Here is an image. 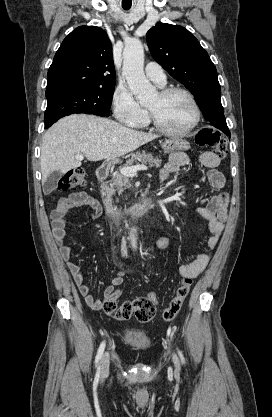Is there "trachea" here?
Returning <instances> with one entry per match:
<instances>
[{"label": "trachea", "instance_id": "trachea-1", "mask_svg": "<svg viewBox=\"0 0 272 417\" xmlns=\"http://www.w3.org/2000/svg\"><path fill=\"white\" fill-rule=\"evenodd\" d=\"M125 10H128V9H130V7H123Z\"/></svg>", "mask_w": 272, "mask_h": 417}]
</instances>
